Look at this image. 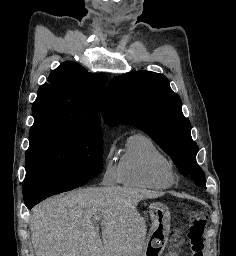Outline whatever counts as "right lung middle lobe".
I'll return each instance as SVG.
<instances>
[{
  "label": "right lung middle lobe",
  "instance_id": "right-lung-middle-lobe-1",
  "mask_svg": "<svg viewBox=\"0 0 236 256\" xmlns=\"http://www.w3.org/2000/svg\"><path fill=\"white\" fill-rule=\"evenodd\" d=\"M102 154L100 130L72 124L33 125L26 151L24 198L49 187L97 176Z\"/></svg>",
  "mask_w": 236,
  "mask_h": 256
}]
</instances>
